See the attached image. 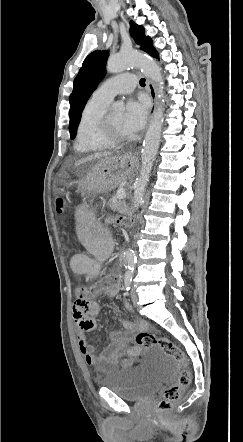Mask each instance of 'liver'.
Returning a JSON list of instances; mask_svg holds the SVG:
<instances>
[{
  "instance_id": "6515ba94",
  "label": "liver",
  "mask_w": 243,
  "mask_h": 442,
  "mask_svg": "<svg viewBox=\"0 0 243 442\" xmlns=\"http://www.w3.org/2000/svg\"><path fill=\"white\" fill-rule=\"evenodd\" d=\"M109 157H111V153H109V152L96 153V154L90 155L88 157H85L83 159H80L75 165L79 166V165L84 164L86 162H90V161L102 159V158L105 159V158H109Z\"/></svg>"
}]
</instances>
